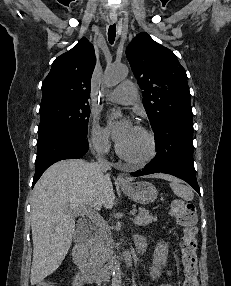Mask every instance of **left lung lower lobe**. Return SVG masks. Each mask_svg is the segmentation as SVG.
Returning <instances> with one entry per match:
<instances>
[{
	"mask_svg": "<svg viewBox=\"0 0 231 286\" xmlns=\"http://www.w3.org/2000/svg\"><path fill=\"white\" fill-rule=\"evenodd\" d=\"M154 133L157 155L144 169L131 174L133 176L171 174L186 181L200 194L193 163L192 119H167Z\"/></svg>",
	"mask_w": 231,
	"mask_h": 286,
	"instance_id": "left-lung-lower-lobe-1",
	"label": "left lung lower lobe"
}]
</instances>
